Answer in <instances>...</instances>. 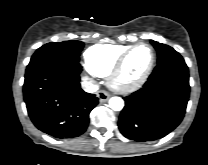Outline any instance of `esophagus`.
<instances>
[{
	"mask_svg": "<svg viewBox=\"0 0 208 165\" xmlns=\"http://www.w3.org/2000/svg\"><path fill=\"white\" fill-rule=\"evenodd\" d=\"M97 97L99 98L100 102H106L110 98V94L104 90H101L97 93Z\"/></svg>",
	"mask_w": 208,
	"mask_h": 165,
	"instance_id": "34e87169",
	"label": "esophagus"
}]
</instances>
